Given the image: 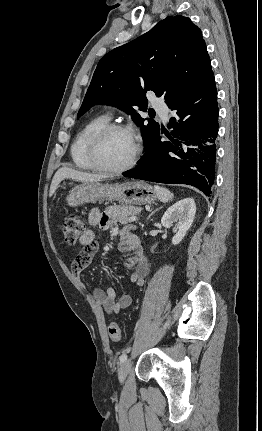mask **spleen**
<instances>
[{"label":"spleen","mask_w":262,"mask_h":431,"mask_svg":"<svg viewBox=\"0 0 262 431\" xmlns=\"http://www.w3.org/2000/svg\"><path fill=\"white\" fill-rule=\"evenodd\" d=\"M154 191L158 197V199L164 203L169 202L173 199L174 195L168 189L164 187H160L158 185L154 186Z\"/></svg>","instance_id":"spleen-1"}]
</instances>
